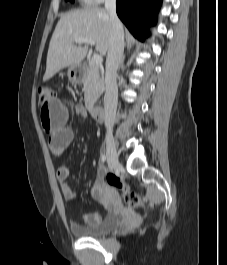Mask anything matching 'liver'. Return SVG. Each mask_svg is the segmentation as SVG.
<instances>
[{
	"label": "liver",
	"mask_w": 227,
	"mask_h": 265,
	"mask_svg": "<svg viewBox=\"0 0 227 265\" xmlns=\"http://www.w3.org/2000/svg\"><path fill=\"white\" fill-rule=\"evenodd\" d=\"M76 38L94 39L96 51L106 55L111 42L108 13L99 8H85L61 16L49 44L44 81L65 67L80 65L86 57L88 45L74 46Z\"/></svg>",
	"instance_id": "liver-1"
}]
</instances>
